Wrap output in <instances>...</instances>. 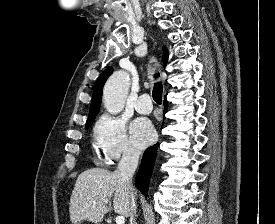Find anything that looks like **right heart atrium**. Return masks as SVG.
Listing matches in <instances>:
<instances>
[{"mask_svg": "<svg viewBox=\"0 0 275 224\" xmlns=\"http://www.w3.org/2000/svg\"><path fill=\"white\" fill-rule=\"evenodd\" d=\"M93 138L96 149L109 163L121 159L138 157V150L131 144L126 129V121L120 117L103 115L97 121Z\"/></svg>", "mask_w": 275, "mask_h": 224, "instance_id": "d8ad5b80", "label": "right heart atrium"}]
</instances>
